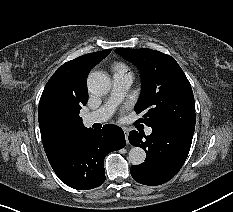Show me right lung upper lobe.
Listing matches in <instances>:
<instances>
[{
    "label": "right lung upper lobe",
    "mask_w": 233,
    "mask_h": 212,
    "mask_svg": "<svg viewBox=\"0 0 233 212\" xmlns=\"http://www.w3.org/2000/svg\"><path fill=\"white\" fill-rule=\"evenodd\" d=\"M111 50L85 54L60 66L47 82L39 102V126L49 162L56 160L85 127L79 111L86 105V78Z\"/></svg>",
    "instance_id": "right-lung-upper-lobe-1"
}]
</instances>
